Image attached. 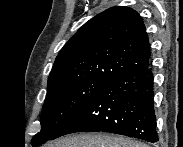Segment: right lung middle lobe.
I'll use <instances>...</instances> for the list:
<instances>
[{"label": "right lung middle lobe", "mask_w": 183, "mask_h": 147, "mask_svg": "<svg viewBox=\"0 0 183 147\" xmlns=\"http://www.w3.org/2000/svg\"><path fill=\"white\" fill-rule=\"evenodd\" d=\"M108 83L83 79L48 87L40 120L42 128L32 139V146L52 140L63 123Z\"/></svg>", "instance_id": "dd1d6c3e"}]
</instances>
